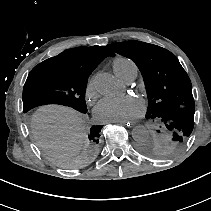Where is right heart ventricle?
<instances>
[{
  "label": "right heart ventricle",
  "mask_w": 211,
  "mask_h": 211,
  "mask_svg": "<svg viewBox=\"0 0 211 211\" xmlns=\"http://www.w3.org/2000/svg\"><path fill=\"white\" fill-rule=\"evenodd\" d=\"M113 70L122 80L126 81L130 76L138 73L136 63L128 57H117L113 61Z\"/></svg>",
  "instance_id": "right-heart-ventricle-1"
}]
</instances>
